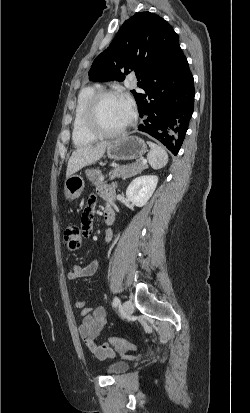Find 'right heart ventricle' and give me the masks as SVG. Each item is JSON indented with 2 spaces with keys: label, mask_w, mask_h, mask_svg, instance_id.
I'll return each instance as SVG.
<instances>
[{
  "label": "right heart ventricle",
  "mask_w": 250,
  "mask_h": 413,
  "mask_svg": "<svg viewBox=\"0 0 250 413\" xmlns=\"http://www.w3.org/2000/svg\"><path fill=\"white\" fill-rule=\"evenodd\" d=\"M97 91H99L98 86H87L78 94L72 129V140L78 147L89 145L97 139L85 126V110L87 103Z\"/></svg>",
  "instance_id": "right-heart-ventricle-1"
}]
</instances>
